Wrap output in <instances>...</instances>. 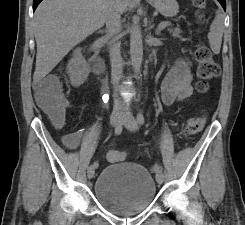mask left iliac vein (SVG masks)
Listing matches in <instances>:
<instances>
[{
  "mask_svg": "<svg viewBox=\"0 0 245 225\" xmlns=\"http://www.w3.org/2000/svg\"><path fill=\"white\" fill-rule=\"evenodd\" d=\"M122 124L130 131H136L139 127L137 120L130 112H127L126 114L123 115ZM163 180H164L163 173H159L156 175L157 183L161 184L163 183Z\"/></svg>",
  "mask_w": 245,
  "mask_h": 225,
  "instance_id": "1",
  "label": "left iliac vein"
}]
</instances>
